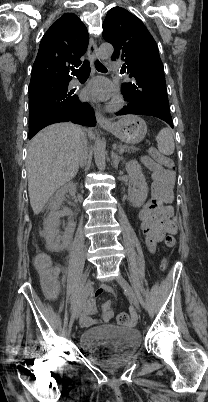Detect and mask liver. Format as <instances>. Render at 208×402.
<instances>
[{
  "mask_svg": "<svg viewBox=\"0 0 208 402\" xmlns=\"http://www.w3.org/2000/svg\"><path fill=\"white\" fill-rule=\"evenodd\" d=\"M75 124H53L34 136L27 154L28 192L34 214H40L54 192L75 178L78 148L85 136ZM94 140V134L87 132Z\"/></svg>",
  "mask_w": 208,
  "mask_h": 402,
  "instance_id": "liver-1",
  "label": "liver"
}]
</instances>
